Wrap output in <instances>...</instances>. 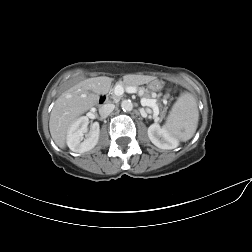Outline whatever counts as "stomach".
<instances>
[{
    "label": "stomach",
    "mask_w": 252,
    "mask_h": 252,
    "mask_svg": "<svg viewBox=\"0 0 252 252\" xmlns=\"http://www.w3.org/2000/svg\"><path fill=\"white\" fill-rule=\"evenodd\" d=\"M162 87H163V84L159 80H152L151 82H149V88L151 90L159 91L162 89Z\"/></svg>",
    "instance_id": "stomach-1"
}]
</instances>
